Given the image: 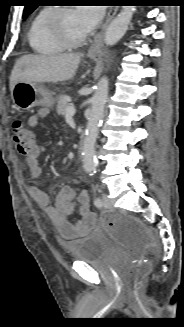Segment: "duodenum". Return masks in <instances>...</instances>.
<instances>
[{"mask_svg": "<svg viewBox=\"0 0 184 327\" xmlns=\"http://www.w3.org/2000/svg\"><path fill=\"white\" fill-rule=\"evenodd\" d=\"M85 144H86V137L84 135H81L78 143V152L80 155H82L85 150Z\"/></svg>", "mask_w": 184, "mask_h": 327, "instance_id": "1", "label": "duodenum"}]
</instances>
